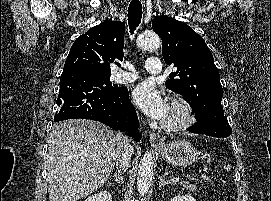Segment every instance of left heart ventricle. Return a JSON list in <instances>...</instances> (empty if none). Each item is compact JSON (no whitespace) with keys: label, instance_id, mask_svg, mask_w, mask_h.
<instances>
[{"label":"left heart ventricle","instance_id":"1","mask_svg":"<svg viewBox=\"0 0 271 201\" xmlns=\"http://www.w3.org/2000/svg\"><path fill=\"white\" fill-rule=\"evenodd\" d=\"M173 118H174V114H172V112L170 111L166 120L173 119Z\"/></svg>","mask_w":271,"mask_h":201}]
</instances>
